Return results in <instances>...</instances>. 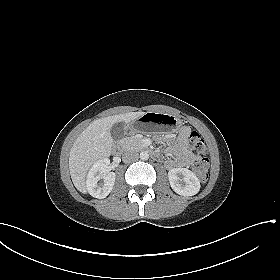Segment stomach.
Here are the masks:
<instances>
[{
    "instance_id": "stomach-1",
    "label": "stomach",
    "mask_w": 280,
    "mask_h": 280,
    "mask_svg": "<svg viewBox=\"0 0 280 280\" xmlns=\"http://www.w3.org/2000/svg\"><path fill=\"white\" fill-rule=\"evenodd\" d=\"M182 124V120L173 115L148 112L131 122L130 131L135 133L152 127L160 129L165 133H173L178 131Z\"/></svg>"
}]
</instances>
